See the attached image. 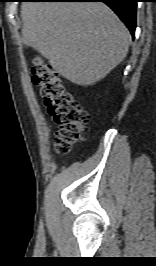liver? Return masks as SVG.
<instances>
[{
	"mask_svg": "<svg viewBox=\"0 0 156 266\" xmlns=\"http://www.w3.org/2000/svg\"><path fill=\"white\" fill-rule=\"evenodd\" d=\"M22 40L74 84L94 85L126 57L131 36L101 2H25Z\"/></svg>",
	"mask_w": 156,
	"mask_h": 266,
	"instance_id": "liver-1",
	"label": "liver"
}]
</instances>
